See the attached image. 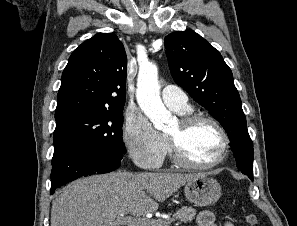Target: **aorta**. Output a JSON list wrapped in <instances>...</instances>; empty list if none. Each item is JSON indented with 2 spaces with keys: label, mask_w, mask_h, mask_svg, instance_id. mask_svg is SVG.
<instances>
[{
  "label": "aorta",
  "mask_w": 297,
  "mask_h": 226,
  "mask_svg": "<svg viewBox=\"0 0 297 226\" xmlns=\"http://www.w3.org/2000/svg\"><path fill=\"white\" fill-rule=\"evenodd\" d=\"M136 98L139 107L158 130H164L171 114L160 98L158 69L154 64L140 67L137 78Z\"/></svg>",
  "instance_id": "aorta-1"
}]
</instances>
